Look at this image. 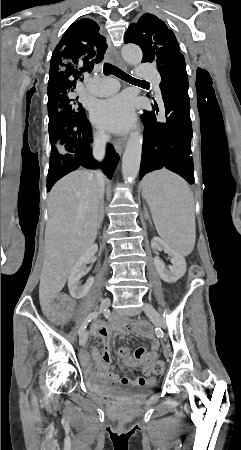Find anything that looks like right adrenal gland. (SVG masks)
I'll return each mask as SVG.
<instances>
[{
    "label": "right adrenal gland",
    "mask_w": 241,
    "mask_h": 450,
    "mask_svg": "<svg viewBox=\"0 0 241 450\" xmlns=\"http://www.w3.org/2000/svg\"><path fill=\"white\" fill-rule=\"evenodd\" d=\"M102 214H103V212H102ZM101 224H102V218H98V228H100Z\"/></svg>",
    "instance_id": "2a0ac1e0"
}]
</instances>
